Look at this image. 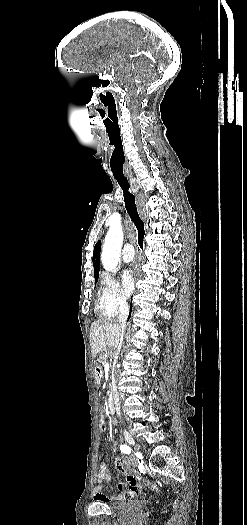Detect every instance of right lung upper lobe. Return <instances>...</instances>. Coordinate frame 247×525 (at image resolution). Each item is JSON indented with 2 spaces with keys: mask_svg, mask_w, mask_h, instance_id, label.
<instances>
[{
  "mask_svg": "<svg viewBox=\"0 0 247 525\" xmlns=\"http://www.w3.org/2000/svg\"><path fill=\"white\" fill-rule=\"evenodd\" d=\"M100 250H101V241H98L94 247L93 251V266H94V276L99 274V259H100Z\"/></svg>",
  "mask_w": 247,
  "mask_h": 525,
  "instance_id": "cb5924a9",
  "label": "right lung upper lobe"
}]
</instances>
